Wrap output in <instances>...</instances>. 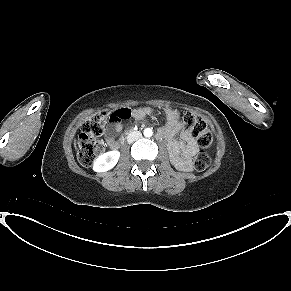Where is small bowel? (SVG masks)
<instances>
[{"instance_id":"obj_1","label":"small bowel","mask_w":291,"mask_h":291,"mask_svg":"<svg viewBox=\"0 0 291 291\" xmlns=\"http://www.w3.org/2000/svg\"><path fill=\"white\" fill-rule=\"evenodd\" d=\"M151 112L152 109L149 107L137 108L132 111V116L140 120ZM164 114L166 116V123L158 131V137L168 142L172 160L183 170L188 171L190 170L188 160L198 151L197 143L192 134L184 127L177 110L166 108L164 109ZM123 126L122 120L113 121L112 127L106 136V142L110 148L114 149L117 147L114 134L120 132ZM177 134H179L183 143L174 139Z\"/></svg>"}]
</instances>
